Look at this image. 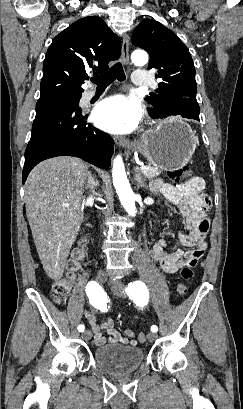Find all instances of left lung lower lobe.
Returning <instances> with one entry per match:
<instances>
[{"mask_svg":"<svg viewBox=\"0 0 243 409\" xmlns=\"http://www.w3.org/2000/svg\"><path fill=\"white\" fill-rule=\"evenodd\" d=\"M183 109V108H182ZM171 115H181L183 117L189 118V119H195L199 121V113H188L185 114L183 111H180L179 109L171 110L167 112V116ZM152 118H158L157 115L151 116Z\"/></svg>","mask_w":243,"mask_h":409,"instance_id":"1","label":"left lung lower lobe"}]
</instances>
